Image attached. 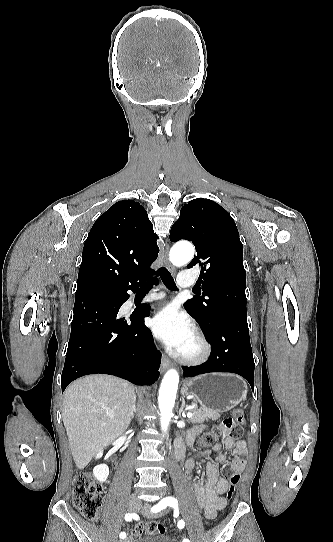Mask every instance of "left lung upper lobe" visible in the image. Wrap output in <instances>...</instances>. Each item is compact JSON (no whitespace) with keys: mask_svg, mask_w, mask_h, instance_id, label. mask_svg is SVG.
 Wrapping results in <instances>:
<instances>
[{"mask_svg":"<svg viewBox=\"0 0 333 542\" xmlns=\"http://www.w3.org/2000/svg\"><path fill=\"white\" fill-rule=\"evenodd\" d=\"M180 239L190 240L197 251L187 268L201 267L197 296L184 303L187 312L205 332L222 316L247 317L243 246L229 213L212 200H191L171 228L170 240Z\"/></svg>","mask_w":333,"mask_h":542,"instance_id":"obj_1","label":"left lung upper lobe"}]
</instances>
